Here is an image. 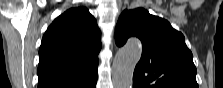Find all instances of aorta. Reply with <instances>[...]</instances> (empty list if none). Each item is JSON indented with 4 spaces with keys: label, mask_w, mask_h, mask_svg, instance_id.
I'll use <instances>...</instances> for the list:
<instances>
[{
    "label": "aorta",
    "mask_w": 223,
    "mask_h": 88,
    "mask_svg": "<svg viewBox=\"0 0 223 88\" xmlns=\"http://www.w3.org/2000/svg\"><path fill=\"white\" fill-rule=\"evenodd\" d=\"M142 45L140 40L131 39L121 48L112 65V83L114 88H132L133 72L141 58Z\"/></svg>",
    "instance_id": "obj_1"
}]
</instances>
